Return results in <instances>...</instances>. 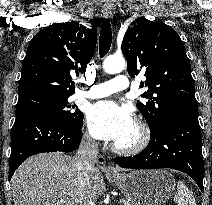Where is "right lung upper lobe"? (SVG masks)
Here are the masks:
<instances>
[{
    "mask_svg": "<svg viewBox=\"0 0 212 205\" xmlns=\"http://www.w3.org/2000/svg\"><path fill=\"white\" fill-rule=\"evenodd\" d=\"M95 26L55 23L38 32L26 51L18 88L19 98L33 93L72 95L70 73L84 72L96 48Z\"/></svg>",
    "mask_w": 212,
    "mask_h": 205,
    "instance_id": "obj_1",
    "label": "right lung upper lobe"
}]
</instances>
